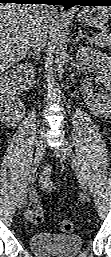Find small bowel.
I'll return each mask as SVG.
<instances>
[{"label": "small bowel", "mask_w": 111, "mask_h": 257, "mask_svg": "<svg viewBox=\"0 0 111 257\" xmlns=\"http://www.w3.org/2000/svg\"><path fill=\"white\" fill-rule=\"evenodd\" d=\"M52 170L50 167H46L40 177L42 189L45 192L51 193L55 190V184L51 179ZM27 218L32 222L41 221V210L35 204L31 205L26 211Z\"/></svg>", "instance_id": "c3829d8e"}]
</instances>
